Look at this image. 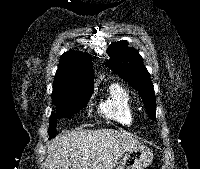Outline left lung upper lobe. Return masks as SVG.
I'll return each mask as SVG.
<instances>
[{
	"mask_svg": "<svg viewBox=\"0 0 200 169\" xmlns=\"http://www.w3.org/2000/svg\"><path fill=\"white\" fill-rule=\"evenodd\" d=\"M107 54L109 60L105 64L114 73L126 80L131 87L139 91L147 113L153 120H156L154 89L151 87L150 75L143 65L140 54L133 47H128L127 41L111 43L107 49Z\"/></svg>",
	"mask_w": 200,
	"mask_h": 169,
	"instance_id": "left-lung-upper-lobe-1",
	"label": "left lung upper lobe"
}]
</instances>
